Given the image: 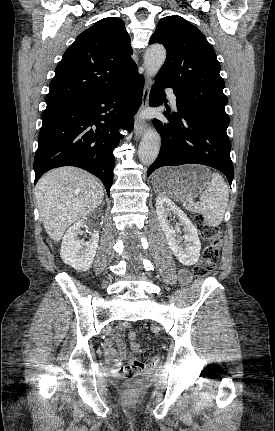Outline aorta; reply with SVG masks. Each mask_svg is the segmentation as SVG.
I'll return each instance as SVG.
<instances>
[{"label":"aorta","mask_w":275,"mask_h":431,"mask_svg":"<svg viewBox=\"0 0 275 431\" xmlns=\"http://www.w3.org/2000/svg\"><path fill=\"white\" fill-rule=\"evenodd\" d=\"M166 50L162 45L150 46L144 56V64L149 76L154 77L164 64ZM160 150V135L155 129H149L143 136L139 145L138 155L144 165H151L157 158Z\"/></svg>","instance_id":"1"}]
</instances>
